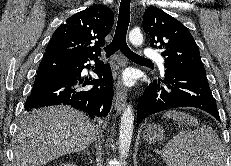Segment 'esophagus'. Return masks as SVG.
I'll return each mask as SVG.
<instances>
[{
    "label": "esophagus",
    "mask_w": 231,
    "mask_h": 166,
    "mask_svg": "<svg viewBox=\"0 0 231 166\" xmlns=\"http://www.w3.org/2000/svg\"><path fill=\"white\" fill-rule=\"evenodd\" d=\"M126 99H127V91L118 81L116 83V89H115V109L118 114H120L123 111L125 107Z\"/></svg>",
    "instance_id": "1"
}]
</instances>
